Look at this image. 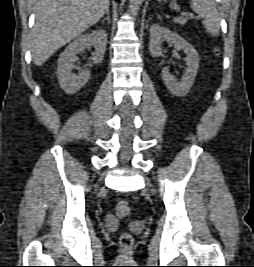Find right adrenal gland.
<instances>
[{"mask_svg":"<svg viewBox=\"0 0 254 267\" xmlns=\"http://www.w3.org/2000/svg\"><path fill=\"white\" fill-rule=\"evenodd\" d=\"M106 17L104 18V19H102V23H104V21H108V23H110V11L108 10L107 12H106Z\"/></svg>","mask_w":254,"mask_h":267,"instance_id":"2a0ac1e0","label":"right adrenal gland"}]
</instances>
